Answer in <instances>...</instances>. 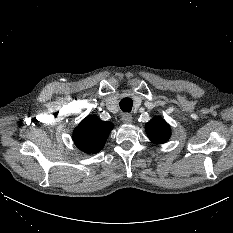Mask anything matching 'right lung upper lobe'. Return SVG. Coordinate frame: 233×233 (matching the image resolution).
<instances>
[{"label":"right lung upper lobe","instance_id":"1","mask_svg":"<svg viewBox=\"0 0 233 233\" xmlns=\"http://www.w3.org/2000/svg\"><path fill=\"white\" fill-rule=\"evenodd\" d=\"M112 128L111 122L89 115L74 129L73 139L80 150L89 154L96 153L103 148Z\"/></svg>","mask_w":233,"mask_h":233}]
</instances>
